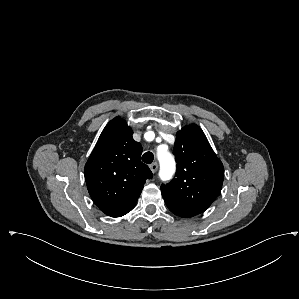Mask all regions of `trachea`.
I'll list each match as a JSON object with an SVG mask.
<instances>
[{"label":"trachea","mask_w":299,"mask_h":299,"mask_svg":"<svg viewBox=\"0 0 299 299\" xmlns=\"http://www.w3.org/2000/svg\"><path fill=\"white\" fill-rule=\"evenodd\" d=\"M154 155L151 152H146L142 156V161L147 164H151L153 162Z\"/></svg>","instance_id":"obj_1"}]
</instances>
